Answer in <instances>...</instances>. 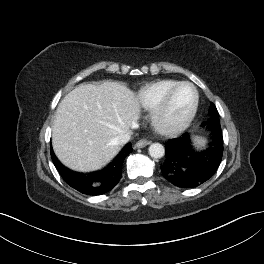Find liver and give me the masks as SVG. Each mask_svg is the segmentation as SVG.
<instances>
[{"mask_svg": "<svg viewBox=\"0 0 264 264\" xmlns=\"http://www.w3.org/2000/svg\"><path fill=\"white\" fill-rule=\"evenodd\" d=\"M140 111L139 98L121 83L77 86L55 113L52 145L57 158L76 171L101 168L121 150L114 140L131 132Z\"/></svg>", "mask_w": 264, "mask_h": 264, "instance_id": "6515ba94", "label": "liver"}]
</instances>
